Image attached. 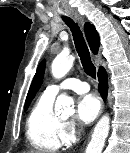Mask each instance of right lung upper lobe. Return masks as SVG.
Segmentation results:
<instances>
[{"label": "right lung upper lobe", "mask_w": 130, "mask_h": 153, "mask_svg": "<svg viewBox=\"0 0 130 153\" xmlns=\"http://www.w3.org/2000/svg\"><path fill=\"white\" fill-rule=\"evenodd\" d=\"M84 29H85V35H86L87 41L89 43L90 49L92 50V52L94 54H97L99 44H100V39H99V35H98L94 25H92L90 23H86ZM45 63H46V61L43 60L37 69V72H36L35 77L32 81V84L30 86V89H29V92H28V95L26 98V103L32 101L36 92L39 90V88L43 82Z\"/></svg>", "instance_id": "cb5924a9"}]
</instances>
